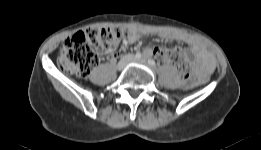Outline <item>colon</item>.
<instances>
[{
  "mask_svg": "<svg viewBox=\"0 0 261 150\" xmlns=\"http://www.w3.org/2000/svg\"><path fill=\"white\" fill-rule=\"evenodd\" d=\"M131 33L129 28H87L68 37L62 44L57 59L58 66L65 72L79 77L87 76L97 65L99 55L114 50L121 39ZM153 54L170 61L183 77L190 72L189 62L176 47H157Z\"/></svg>",
  "mask_w": 261,
  "mask_h": 150,
  "instance_id": "obj_1",
  "label": "colon"
}]
</instances>
